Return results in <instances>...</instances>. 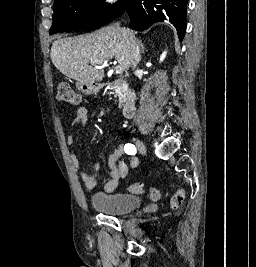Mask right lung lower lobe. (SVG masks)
<instances>
[{
  "label": "right lung lower lobe",
  "instance_id": "obj_1",
  "mask_svg": "<svg viewBox=\"0 0 256 267\" xmlns=\"http://www.w3.org/2000/svg\"><path fill=\"white\" fill-rule=\"evenodd\" d=\"M187 3L188 0H130L125 11L133 30L143 31L156 22L169 21L182 41L186 30Z\"/></svg>",
  "mask_w": 256,
  "mask_h": 267
}]
</instances>
